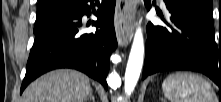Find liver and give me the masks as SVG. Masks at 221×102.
I'll use <instances>...</instances> for the list:
<instances>
[{"mask_svg": "<svg viewBox=\"0 0 221 102\" xmlns=\"http://www.w3.org/2000/svg\"><path fill=\"white\" fill-rule=\"evenodd\" d=\"M89 78L75 70L51 71L33 82L23 93V102H85Z\"/></svg>", "mask_w": 221, "mask_h": 102, "instance_id": "obj_1", "label": "liver"}]
</instances>
